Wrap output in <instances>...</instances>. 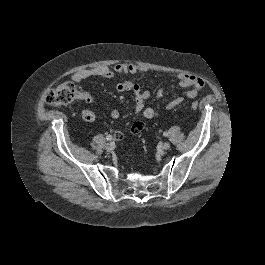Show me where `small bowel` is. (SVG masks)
Returning <instances> with one entry per match:
<instances>
[{
	"label": "small bowel",
	"mask_w": 265,
	"mask_h": 265,
	"mask_svg": "<svg viewBox=\"0 0 265 265\" xmlns=\"http://www.w3.org/2000/svg\"><path fill=\"white\" fill-rule=\"evenodd\" d=\"M147 68L135 63H120L115 65L114 67L102 65L94 68L83 69L72 74L71 78L74 82H81L90 77H102V78H115L122 77L127 75H133L139 72H146ZM178 85L183 88H189L186 93V96L190 99L197 97L199 91L204 86V81L192 74L188 73H178ZM116 90L118 92L131 91L134 94L135 98V112L138 114H142L146 119H153L158 114L154 107L146 105V101L150 97V92L141 88V86L135 83L132 80L126 79L120 81L116 85ZM166 89L161 88L157 91L156 98L158 100L162 99L164 96ZM81 99H85L87 101L90 100V96L86 93H81ZM183 97H176L170 101H168L165 105L166 109H173L176 106L180 105L183 102ZM110 116L113 119H117L120 116V113L117 109H112L110 111ZM144 127L143 122H136L131 127L132 133L140 132ZM115 138L118 140H122L124 138V134L120 131L115 132Z\"/></svg>",
	"instance_id": "small-bowel-1"
}]
</instances>
